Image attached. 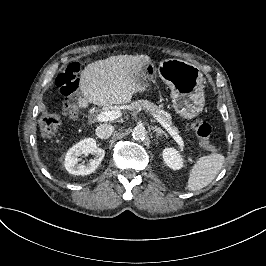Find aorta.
Here are the masks:
<instances>
[{
  "label": "aorta",
  "instance_id": "obj_1",
  "mask_svg": "<svg viewBox=\"0 0 266 266\" xmlns=\"http://www.w3.org/2000/svg\"><path fill=\"white\" fill-rule=\"evenodd\" d=\"M132 139L136 140V141H143L145 140L146 136H147V132L145 130V128L143 126H136L133 130H132Z\"/></svg>",
  "mask_w": 266,
  "mask_h": 266
}]
</instances>
